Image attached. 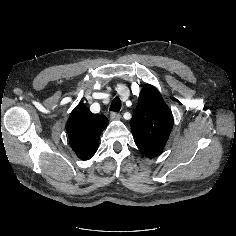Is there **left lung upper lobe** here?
<instances>
[{
  "label": "left lung upper lobe",
  "instance_id": "5c2ea615",
  "mask_svg": "<svg viewBox=\"0 0 236 236\" xmlns=\"http://www.w3.org/2000/svg\"><path fill=\"white\" fill-rule=\"evenodd\" d=\"M130 124L140 151L148 158L158 156L173 128V116L160 93L152 85H146L141 91Z\"/></svg>",
  "mask_w": 236,
  "mask_h": 236
}]
</instances>
